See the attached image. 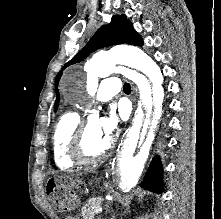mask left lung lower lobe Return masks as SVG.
<instances>
[{"label":"left lung lower lobe","mask_w":221,"mask_h":219,"mask_svg":"<svg viewBox=\"0 0 221 219\" xmlns=\"http://www.w3.org/2000/svg\"><path fill=\"white\" fill-rule=\"evenodd\" d=\"M162 171L160 159L155 157L140 185L145 189L161 193L163 191Z\"/></svg>","instance_id":"left-lung-lower-lobe-1"}]
</instances>
